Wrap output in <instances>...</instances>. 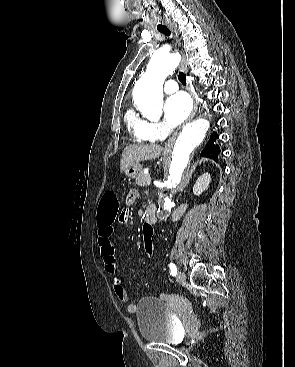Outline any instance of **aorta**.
I'll return each instance as SVG.
<instances>
[{"instance_id": "762f6f07", "label": "aorta", "mask_w": 295, "mask_h": 367, "mask_svg": "<svg viewBox=\"0 0 295 367\" xmlns=\"http://www.w3.org/2000/svg\"><path fill=\"white\" fill-rule=\"evenodd\" d=\"M179 62L178 53L158 51L152 56L144 76L136 83L133 92L134 104L144 117L159 118L161 116L163 83ZM208 127V120L197 119L186 124L178 135L169 162L162 197L164 214L170 212L173 206L172 193L181 184L190 154L203 141Z\"/></svg>"}]
</instances>
